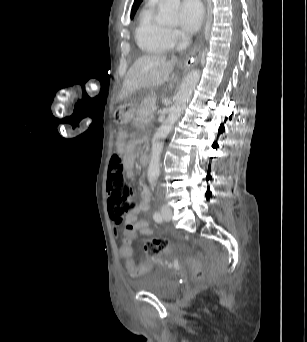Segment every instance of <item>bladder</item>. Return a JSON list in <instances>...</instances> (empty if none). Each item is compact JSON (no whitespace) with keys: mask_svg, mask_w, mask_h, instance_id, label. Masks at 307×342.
Instances as JSON below:
<instances>
[{"mask_svg":"<svg viewBox=\"0 0 307 342\" xmlns=\"http://www.w3.org/2000/svg\"><path fill=\"white\" fill-rule=\"evenodd\" d=\"M140 288L160 297H170L175 293L177 284L162 268H155L144 277Z\"/></svg>","mask_w":307,"mask_h":342,"instance_id":"1","label":"bladder"}]
</instances>
